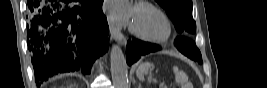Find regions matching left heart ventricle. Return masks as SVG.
<instances>
[{
    "mask_svg": "<svg viewBox=\"0 0 267 88\" xmlns=\"http://www.w3.org/2000/svg\"><path fill=\"white\" fill-rule=\"evenodd\" d=\"M132 24L141 31L154 36H160L165 33V25L153 13L139 9L133 12Z\"/></svg>",
    "mask_w": 267,
    "mask_h": 88,
    "instance_id": "b2bd125f",
    "label": "left heart ventricle"
}]
</instances>
